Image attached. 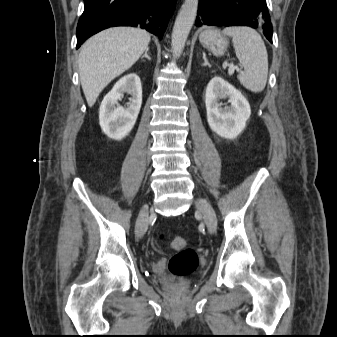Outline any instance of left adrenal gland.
I'll return each mask as SVG.
<instances>
[{
  "mask_svg": "<svg viewBox=\"0 0 337 337\" xmlns=\"http://www.w3.org/2000/svg\"><path fill=\"white\" fill-rule=\"evenodd\" d=\"M203 60H204V63L202 64L203 66L209 65V62H208V60L206 59V55H205L204 52H203Z\"/></svg>",
  "mask_w": 337,
  "mask_h": 337,
  "instance_id": "1",
  "label": "left adrenal gland"
}]
</instances>
